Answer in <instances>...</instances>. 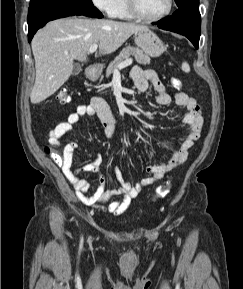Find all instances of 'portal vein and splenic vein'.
<instances>
[{"label":"portal vein and splenic vein","instance_id":"obj_1","mask_svg":"<svg viewBox=\"0 0 243 289\" xmlns=\"http://www.w3.org/2000/svg\"><path fill=\"white\" fill-rule=\"evenodd\" d=\"M97 48H98V44H97V43H94V44L91 45V47L89 48L88 53H89V54L94 53V52L97 50ZM132 62H133V60H132L131 58L123 61L121 64H119L118 68H117L114 72H115V73H118L119 70H121V69H123V68H125V67H127V66H129V65H131Z\"/></svg>","mask_w":243,"mask_h":289}]
</instances>
